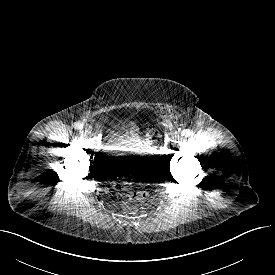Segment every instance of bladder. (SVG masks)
Segmentation results:
<instances>
[{"label":"bladder","mask_w":275,"mask_h":275,"mask_svg":"<svg viewBox=\"0 0 275 275\" xmlns=\"http://www.w3.org/2000/svg\"><path fill=\"white\" fill-rule=\"evenodd\" d=\"M106 165L117 176L143 178L150 174L154 158L146 135L139 130L120 131L118 141L108 147Z\"/></svg>","instance_id":"bladder-1"}]
</instances>
